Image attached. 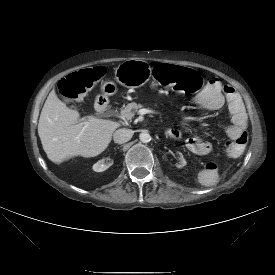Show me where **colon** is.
Returning a JSON list of instances; mask_svg holds the SVG:
<instances>
[{
	"label": "colon",
	"instance_id": "colon-1",
	"mask_svg": "<svg viewBox=\"0 0 275 275\" xmlns=\"http://www.w3.org/2000/svg\"><path fill=\"white\" fill-rule=\"evenodd\" d=\"M105 72L102 66L74 72L61 81L60 92L64 97L76 100L93 88L104 77ZM153 76L160 85L179 93H195L203 86L202 79L196 71L181 66L157 65L153 70ZM247 141V133H243L237 139L227 140L224 144L227 156H238L244 150Z\"/></svg>",
	"mask_w": 275,
	"mask_h": 275
}]
</instances>
